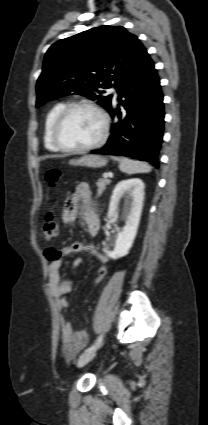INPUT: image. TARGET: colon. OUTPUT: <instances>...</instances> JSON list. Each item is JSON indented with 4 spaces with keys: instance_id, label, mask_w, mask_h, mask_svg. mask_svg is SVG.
Wrapping results in <instances>:
<instances>
[{
    "instance_id": "1",
    "label": "colon",
    "mask_w": 208,
    "mask_h": 425,
    "mask_svg": "<svg viewBox=\"0 0 208 425\" xmlns=\"http://www.w3.org/2000/svg\"><path fill=\"white\" fill-rule=\"evenodd\" d=\"M61 175L62 173L60 169L48 168L46 169L44 173V178L49 187L55 188L61 178ZM58 235H59V223L54 213L50 212L46 216L43 229H42V236L44 237V239L48 241H53L58 237ZM45 254L50 260H57L61 258V253L58 249L50 248L46 250ZM106 274H107L106 267H103V266L99 267L91 279V284L95 286L102 283L106 277Z\"/></svg>"
}]
</instances>
